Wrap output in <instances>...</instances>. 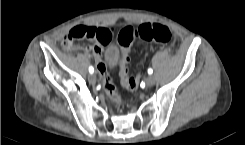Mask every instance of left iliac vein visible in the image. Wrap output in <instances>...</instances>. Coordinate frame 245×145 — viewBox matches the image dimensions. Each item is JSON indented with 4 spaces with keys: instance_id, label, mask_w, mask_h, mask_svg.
I'll list each match as a JSON object with an SVG mask.
<instances>
[{
    "instance_id": "left-iliac-vein-1",
    "label": "left iliac vein",
    "mask_w": 245,
    "mask_h": 145,
    "mask_svg": "<svg viewBox=\"0 0 245 145\" xmlns=\"http://www.w3.org/2000/svg\"><path fill=\"white\" fill-rule=\"evenodd\" d=\"M146 84L147 86H153L155 84V78L153 76H149L146 79Z\"/></svg>"
}]
</instances>
